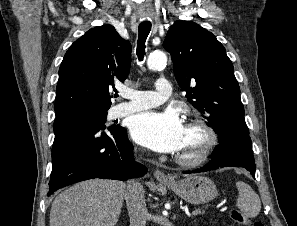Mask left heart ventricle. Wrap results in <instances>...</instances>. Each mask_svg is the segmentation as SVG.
Returning <instances> with one entry per match:
<instances>
[{
    "label": "left heart ventricle",
    "mask_w": 297,
    "mask_h": 226,
    "mask_svg": "<svg viewBox=\"0 0 297 226\" xmlns=\"http://www.w3.org/2000/svg\"><path fill=\"white\" fill-rule=\"evenodd\" d=\"M203 142L204 135L198 128L185 126L183 145L178 154L191 156L201 148Z\"/></svg>",
    "instance_id": "1"
}]
</instances>
